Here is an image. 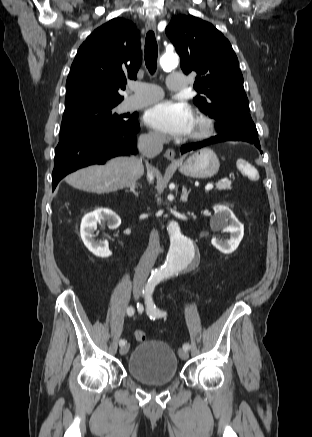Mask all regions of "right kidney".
<instances>
[{
  "label": "right kidney",
  "mask_w": 312,
  "mask_h": 437,
  "mask_svg": "<svg viewBox=\"0 0 312 437\" xmlns=\"http://www.w3.org/2000/svg\"><path fill=\"white\" fill-rule=\"evenodd\" d=\"M107 221L110 228H117L121 224V219L112 210L99 208L86 214L80 225V234L84 245L90 252L98 257H108L111 252L107 241L97 242L94 239V231L97 229V223Z\"/></svg>",
  "instance_id": "right-kidney-1"
}]
</instances>
